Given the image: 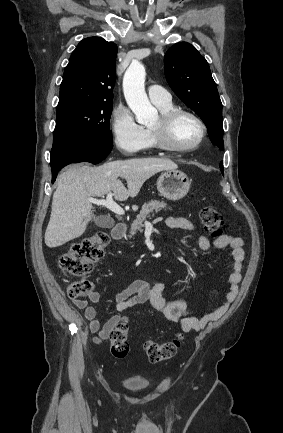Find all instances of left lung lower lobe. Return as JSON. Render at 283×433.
<instances>
[{
  "label": "left lung lower lobe",
  "instance_id": "left-lung-lower-lobe-1",
  "mask_svg": "<svg viewBox=\"0 0 283 433\" xmlns=\"http://www.w3.org/2000/svg\"><path fill=\"white\" fill-rule=\"evenodd\" d=\"M220 169H221V172L223 173V162L220 163Z\"/></svg>",
  "mask_w": 283,
  "mask_h": 433
}]
</instances>
